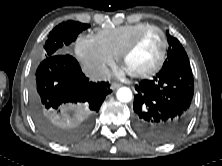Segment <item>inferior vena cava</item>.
<instances>
[{
  "label": "inferior vena cava",
  "instance_id": "inferior-vena-cava-1",
  "mask_svg": "<svg viewBox=\"0 0 222 166\" xmlns=\"http://www.w3.org/2000/svg\"><path fill=\"white\" fill-rule=\"evenodd\" d=\"M84 72L93 81L109 80L111 77V72L107 67L88 68Z\"/></svg>",
  "mask_w": 222,
  "mask_h": 166
}]
</instances>
